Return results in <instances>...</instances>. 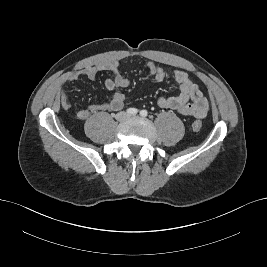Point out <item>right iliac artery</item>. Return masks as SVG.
Listing matches in <instances>:
<instances>
[{
	"instance_id": "82829eb1",
	"label": "right iliac artery",
	"mask_w": 267,
	"mask_h": 267,
	"mask_svg": "<svg viewBox=\"0 0 267 267\" xmlns=\"http://www.w3.org/2000/svg\"><path fill=\"white\" fill-rule=\"evenodd\" d=\"M126 112L128 114L135 115L138 112V110L136 108H129V109L126 110Z\"/></svg>"
}]
</instances>
